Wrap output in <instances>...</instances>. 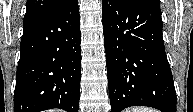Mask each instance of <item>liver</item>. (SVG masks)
<instances>
[{
    "instance_id": "1",
    "label": "liver",
    "mask_w": 193,
    "mask_h": 112,
    "mask_svg": "<svg viewBox=\"0 0 193 112\" xmlns=\"http://www.w3.org/2000/svg\"><path fill=\"white\" fill-rule=\"evenodd\" d=\"M50 112H58L57 110H51Z\"/></svg>"
}]
</instances>
